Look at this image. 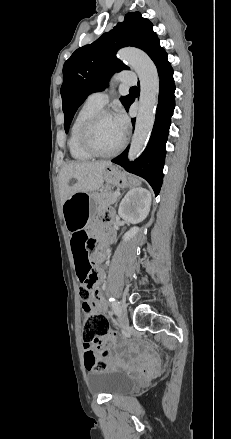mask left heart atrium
I'll use <instances>...</instances> for the list:
<instances>
[{
    "label": "left heart atrium",
    "instance_id": "obj_1",
    "mask_svg": "<svg viewBox=\"0 0 231 439\" xmlns=\"http://www.w3.org/2000/svg\"><path fill=\"white\" fill-rule=\"evenodd\" d=\"M113 118L121 137L124 138L128 129V119L126 115L122 111H119Z\"/></svg>",
    "mask_w": 231,
    "mask_h": 439
}]
</instances>
